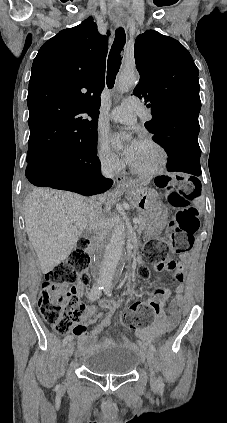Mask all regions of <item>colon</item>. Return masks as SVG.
<instances>
[{
	"label": "colon",
	"instance_id": "1",
	"mask_svg": "<svg viewBox=\"0 0 227 423\" xmlns=\"http://www.w3.org/2000/svg\"><path fill=\"white\" fill-rule=\"evenodd\" d=\"M156 185L166 192L168 202L178 209L169 228L173 251L177 254L187 252L192 248L194 235L199 229V211L194 205L199 195V183L191 178L171 180L162 177L156 181ZM88 245L89 240L81 238L68 259L46 274L40 289V312L45 321L60 333L68 332L84 318L85 306L80 301L79 288L88 281ZM143 258L158 271L170 272L173 281L183 280V263L177 257L168 255L163 241H148ZM139 274L144 281L150 279V271L146 267L141 268ZM166 298L165 288L156 289L149 301L136 302L122 313L123 324L135 329L151 325L154 317L162 312Z\"/></svg>",
	"mask_w": 227,
	"mask_h": 423
}]
</instances>
